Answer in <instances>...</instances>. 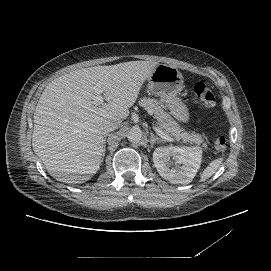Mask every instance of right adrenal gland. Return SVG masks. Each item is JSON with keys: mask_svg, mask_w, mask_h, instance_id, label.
<instances>
[{"mask_svg": "<svg viewBox=\"0 0 271 271\" xmlns=\"http://www.w3.org/2000/svg\"><path fill=\"white\" fill-rule=\"evenodd\" d=\"M106 140H107V137L105 136L104 141H103V149H104V151L106 150Z\"/></svg>", "mask_w": 271, "mask_h": 271, "instance_id": "obj_1", "label": "right adrenal gland"}]
</instances>
